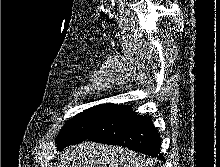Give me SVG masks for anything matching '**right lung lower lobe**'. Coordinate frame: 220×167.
<instances>
[{
	"instance_id": "98d812e1",
	"label": "right lung lower lobe",
	"mask_w": 220,
	"mask_h": 167,
	"mask_svg": "<svg viewBox=\"0 0 220 167\" xmlns=\"http://www.w3.org/2000/svg\"><path fill=\"white\" fill-rule=\"evenodd\" d=\"M84 141L118 145L165 161L160 153V135L151 119L136 114L130 105L113 104Z\"/></svg>"
}]
</instances>
